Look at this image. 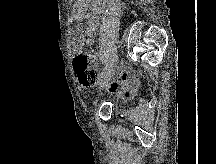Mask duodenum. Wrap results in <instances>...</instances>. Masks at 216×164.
<instances>
[{"label":"duodenum","mask_w":216,"mask_h":164,"mask_svg":"<svg viewBox=\"0 0 216 164\" xmlns=\"http://www.w3.org/2000/svg\"><path fill=\"white\" fill-rule=\"evenodd\" d=\"M105 5V0H93L92 9L95 13H100Z\"/></svg>","instance_id":"obj_1"}]
</instances>
